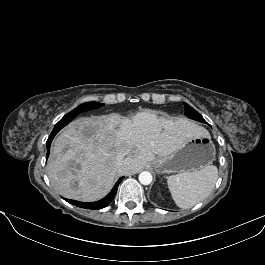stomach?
Segmentation results:
<instances>
[{"label":"stomach","mask_w":265,"mask_h":265,"mask_svg":"<svg viewBox=\"0 0 265 265\" xmlns=\"http://www.w3.org/2000/svg\"><path fill=\"white\" fill-rule=\"evenodd\" d=\"M215 158V147L207 133L186 137L180 146L166 157L153 162L157 173H183L197 171L210 165Z\"/></svg>","instance_id":"stomach-1"}]
</instances>
